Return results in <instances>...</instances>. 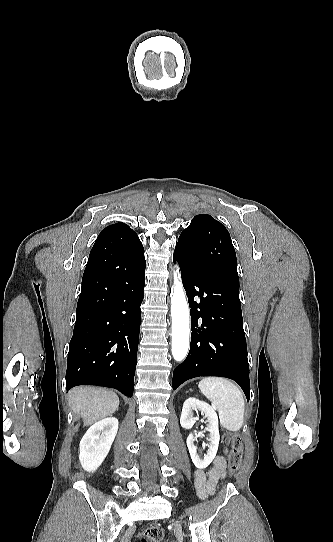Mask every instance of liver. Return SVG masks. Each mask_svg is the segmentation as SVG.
Here are the masks:
<instances>
[{"instance_id": "obj_1", "label": "liver", "mask_w": 333, "mask_h": 542, "mask_svg": "<svg viewBox=\"0 0 333 542\" xmlns=\"http://www.w3.org/2000/svg\"><path fill=\"white\" fill-rule=\"evenodd\" d=\"M69 404L75 414H81L84 426L109 418L119 408V398L103 388L80 386L69 392Z\"/></svg>"}]
</instances>
